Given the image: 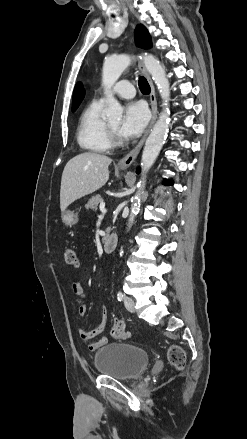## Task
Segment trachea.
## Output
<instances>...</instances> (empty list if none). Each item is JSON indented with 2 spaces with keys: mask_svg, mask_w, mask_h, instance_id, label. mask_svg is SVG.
I'll return each mask as SVG.
<instances>
[{
  "mask_svg": "<svg viewBox=\"0 0 247 439\" xmlns=\"http://www.w3.org/2000/svg\"><path fill=\"white\" fill-rule=\"evenodd\" d=\"M138 84H139L140 91L143 94H149L151 92L150 85H149V83H148V81L146 80L145 77L140 76Z\"/></svg>",
  "mask_w": 247,
  "mask_h": 439,
  "instance_id": "1",
  "label": "trachea"
}]
</instances>
